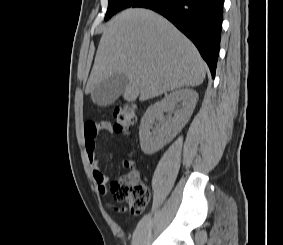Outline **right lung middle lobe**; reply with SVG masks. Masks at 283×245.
I'll return each instance as SVG.
<instances>
[{"instance_id":"1","label":"right lung middle lobe","mask_w":283,"mask_h":245,"mask_svg":"<svg viewBox=\"0 0 283 245\" xmlns=\"http://www.w3.org/2000/svg\"><path fill=\"white\" fill-rule=\"evenodd\" d=\"M139 0H108V9L105 16V21L108 20L118 11L131 7Z\"/></svg>"}]
</instances>
